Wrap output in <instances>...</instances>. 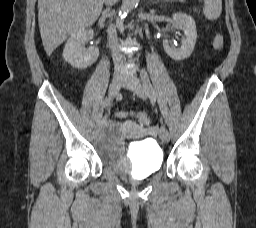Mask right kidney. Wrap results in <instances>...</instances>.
<instances>
[{
  "mask_svg": "<svg viewBox=\"0 0 256 228\" xmlns=\"http://www.w3.org/2000/svg\"><path fill=\"white\" fill-rule=\"evenodd\" d=\"M93 35V30H82L73 34L66 42L63 49V58L72 67L86 69L91 66L99 57V49L92 46L87 51L84 44L88 37Z\"/></svg>",
  "mask_w": 256,
  "mask_h": 228,
  "instance_id": "1",
  "label": "right kidney"
}]
</instances>
